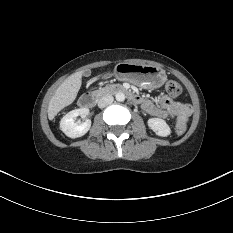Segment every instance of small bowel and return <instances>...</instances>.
Here are the masks:
<instances>
[{
  "mask_svg": "<svg viewBox=\"0 0 233 233\" xmlns=\"http://www.w3.org/2000/svg\"><path fill=\"white\" fill-rule=\"evenodd\" d=\"M140 105L151 116L174 120L176 127L186 128L188 118L192 112L189 104L174 102L164 96L159 97L157 104L143 99L140 100Z\"/></svg>",
  "mask_w": 233,
  "mask_h": 233,
  "instance_id": "1",
  "label": "small bowel"
}]
</instances>
